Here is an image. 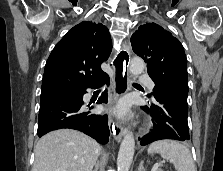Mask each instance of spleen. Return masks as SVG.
Returning a JSON list of instances; mask_svg holds the SVG:
<instances>
[{
  "mask_svg": "<svg viewBox=\"0 0 223 171\" xmlns=\"http://www.w3.org/2000/svg\"><path fill=\"white\" fill-rule=\"evenodd\" d=\"M159 153L169 160L177 171H197L189 149L174 140H160L150 144L148 154Z\"/></svg>",
  "mask_w": 223,
  "mask_h": 171,
  "instance_id": "1",
  "label": "spleen"
}]
</instances>
